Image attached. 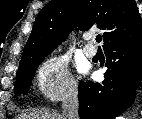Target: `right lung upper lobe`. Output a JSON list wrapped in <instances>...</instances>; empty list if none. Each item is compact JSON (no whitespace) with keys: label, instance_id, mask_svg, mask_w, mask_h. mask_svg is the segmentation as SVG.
Returning <instances> with one entry per match:
<instances>
[{"label":"right lung upper lobe","instance_id":"1","mask_svg":"<svg viewBox=\"0 0 142 119\" xmlns=\"http://www.w3.org/2000/svg\"><path fill=\"white\" fill-rule=\"evenodd\" d=\"M101 29L103 48L142 31L135 0H52L39 12L25 46L19 68L49 54L75 27Z\"/></svg>","mask_w":142,"mask_h":119}]
</instances>
